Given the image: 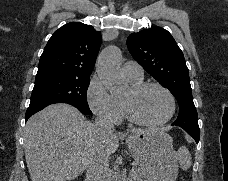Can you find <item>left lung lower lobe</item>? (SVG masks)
Wrapping results in <instances>:
<instances>
[{
	"label": "left lung lower lobe",
	"instance_id": "1",
	"mask_svg": "<svg viewBox=\"0 0 228 181\" xmlns=\"http://www.w3.org/2000/svg\"><path fill=\"white\" fill-rule=\"evenodd\" d=\"M191 137H193L196 141V143L199 142V138H200V131L199 129H195V128H189L185 130Z\"/></svg>",
	"mask_w": 228,
	"mask_h": 181
}]
</instances>
